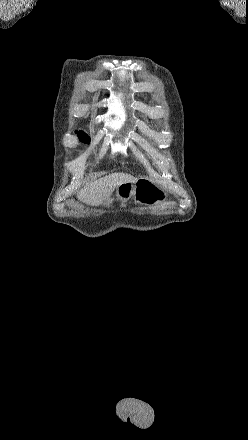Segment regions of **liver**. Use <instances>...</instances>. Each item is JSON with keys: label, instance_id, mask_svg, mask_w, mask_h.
<instances>
[{"label": "liver", "instance_id": "6515ba94", "mask_svg": "<svg viewBox=\"0 0 248 440\" xmlns=\"http://www.w3.org/2000/svg\"><path fill=\"white\" fill-rule=\"evenodd\" d=\"M138 179L127 173H112L87 184L77 197L88 205H99L110 199L113 191L122 184L135 183Z\"/></svg>", "mask_w": 248, "mask_h": 440}]
</instances>
